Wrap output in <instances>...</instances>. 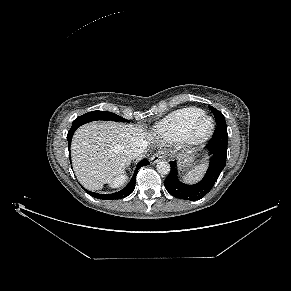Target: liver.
<instances>
[{"label": "liver", "instance_id": "6515ba94", "mask_svg": "<svg viewBox=\"0 0 291 291\" xmlns=\"http://www.w3.org/2000/svg\"><path fill=\"white\" fill-rule=\"evenodd\" d=\"M139 141L147 142V133L132 124L92 122L81 126L71 144L77 179L85 188L97 191L124 177L132 160L129 148Z\"/></svg>", "mask_w": 291, "mask_h": 291}]
</instances>
